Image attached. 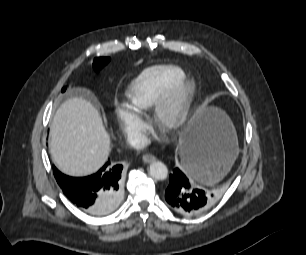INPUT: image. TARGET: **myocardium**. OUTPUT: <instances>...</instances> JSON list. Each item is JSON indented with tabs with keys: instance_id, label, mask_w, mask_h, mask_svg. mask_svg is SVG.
Masks as SVG:
<instances>
[{
	"instance_id": "obj_1",
	"label": "myocardium",
	"mask_w": 306,
	"mask_h": 255,
	"mask_svg": "<svg viewBox=\"0 0 306 255\" xmlns=\"http://www.w3.org/2000/svg\"><path fill=\"white\" fill-rule=\"evenodd\" d=\"M197 85L191 79H184L153 106L152 119L156 127L164 131L181 128L187 121Z\"/></svg>"
}]
</instances>
